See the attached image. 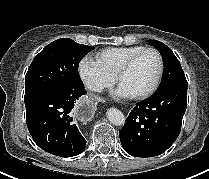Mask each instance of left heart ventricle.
<instances>
[{
	"instance_id": "1",
	"label": "left heart ventricle",
	"mask_w": 209,
	"mask_h": 179,
	"mask_svg": "<svg viewBox=\"0 0 209 179\" xmlns=\"http://www.w3.org/2000/svg\"><path fill=\"white\" fill-rule=\"evenodd\" d=\"M158 72V59L154 53L143 54L119 80L130 95L143 92L151 86Z\"/></svg>"
}]
</instances>
